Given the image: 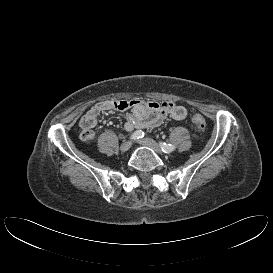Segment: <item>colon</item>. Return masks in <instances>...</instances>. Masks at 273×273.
I'll return each mask as SVG.
<instances>
[{"label":"colon","mask_w":273,"mask_h":273,"mask_svg":"<svg viewBox=\"0 0 273 273\" xmlns=\"http://www.w3.org/2000/svg\"><path fill=\"white\" fill-rule=\"evenodd\" d=\"M191 120L199 130L203 131L206 128V120L201 114L194 113Z\"/></svg>","instance_id":"obj_1"}]
</instances>
